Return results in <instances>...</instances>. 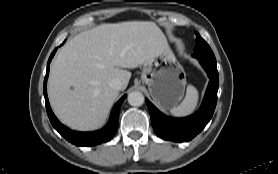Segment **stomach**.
I'll use <instances>...</instances> for the list:
<instances>
[{
  "label": "stomach",
  "mask_w": 278,
  "mask_h": 174,
  "mask_svg": "<svg viewBox=\"0 0 278 174\" xmlns=\"http://www.w3.org/2000/svg\"><path fill=\"white\" fill-rule=\"evenodd\" d=\"M141 81L148 85L153 100L165 109L182 99L187 83L185 71L171 51L146 61Z\"/></svg>",
  "instance_id": "0dacf381"
}]
</instances>
